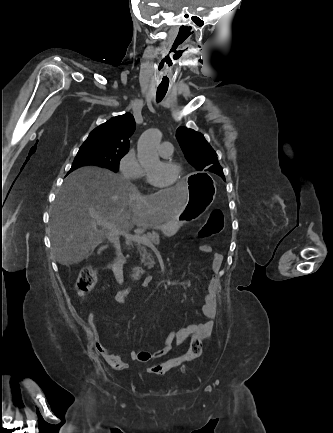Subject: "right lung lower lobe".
<instances>
[{
    "instance_id": "right-lung-lower-lobe-1",
    "label": "right lung lower lobe",
    "mask_w": 333,
    "mask_h": 433,
    "mask_svg": "<svg viewBox=\"0 0 333 433\" xmlns=\"http://www.w3.org/2000/svg\"><path fill=\"white\" fill-rule=\"evenodd\" d=\"M79 167H80V166H79ZM76 168H78V167H76V166H72L71 169H70V171H69V173H70L71 171H73L74 169H76Z\"/></svg>"
}]
</instances>
